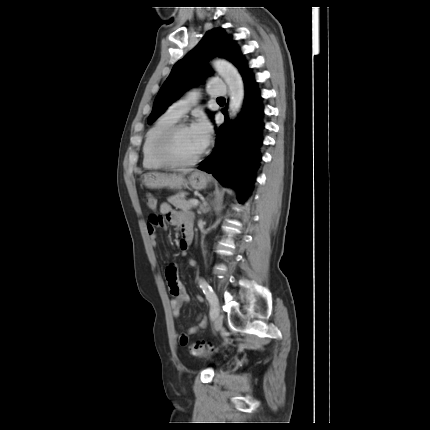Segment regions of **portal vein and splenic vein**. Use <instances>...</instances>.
Returning <instances> with one entry per match:
<instances>
[{
  "mask_svg": "<svg viewBox=\"0 0 430 430\" xmlns=\"http://www.w3.org/2000/svg\"><path fill=\"white\" fill-rule=\"evenodd\" d=\"M190 202L194 205L197 206L199 204V201L197 199H191Z\"/></svg>",
  "mask_w": 430,
  "mask_h": 430,
  "instance_id": "portal-vein-and-splenic-vein-1",
  "label": "portal vein and splenic vein"
}]
</instances>
